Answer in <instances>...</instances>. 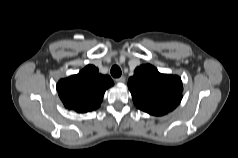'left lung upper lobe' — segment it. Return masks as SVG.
I'll list each match as a JSON object with an SVG mask.
<instances>
[{"label":"left lung upper lobe","instance_id":"left-lung-upper-lobe-1","mask_svg":"<svg viewBox=\"0 0 238 158\" xmlns=\"http://www.w3.org/2000/svg\"><path fill=\"white\" fill-rule=\"evenodd\" d=\"M128 88L137 108L151 115H164L172 111L182 99L181 78L161 74L150 65H141L129 78Z\"/></svg>","mask_w":238,"mask_h":158}]
</instances>
